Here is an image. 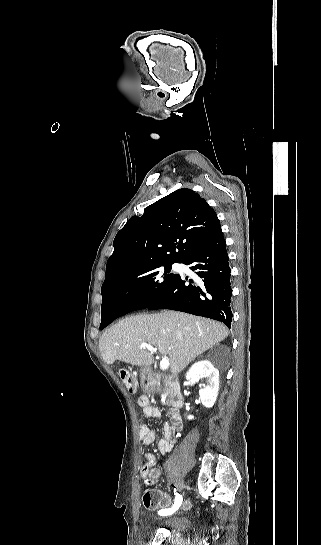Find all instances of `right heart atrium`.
I'll list each match as a JSON object with an SVG mask.
<instances>
[{
  "label": "right heart atrium",
  "mask_w": 321,
  "mask_h": 545,
  "mask_svg": "<svg viewBox=\"0 0 321 545\" xmlns=\"http://www.w3.org/2000/svg\"><path fill=\"white\" fill-rule=\"evenodd\" d=\"M151 290H152V289H151L150 287H146V288L144 289V291H145L146 293L151 292Z\"/></svg>",
  "instance_id": "obj_1"
}]
</instances>
